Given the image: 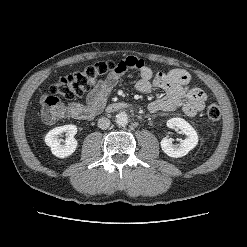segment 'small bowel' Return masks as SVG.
<instances>
[{"label": "small bowel", "instance_id": "small-bowel-1", "mask_svg": "<svg viewBox=\"0 0 247 247\" xmlns=\"http://www.w3.org/2000/svg\"><path fill=\"white\" fill-rule=\"evenodd\" d=\"M124 61L129 63L127 69H135L140 76L136 83L138 91L149 93L154 89H160L166 93L164 97L149 103L150 112H172L182 109L186 115L193 117L204 109L206 94L199 88L190 87V75L187 71L172 69L154 74L152 69L141 59L130 56ZM126 70L112 72L105 80L95 84L89 92L85 104L71 103L69 105L70 116L75 119L88 120L98 114L104 107L108 95L118 85Z\"/></svg>", "mask_w": 247, "mask_h": 247}]
</instances>
